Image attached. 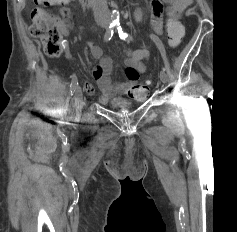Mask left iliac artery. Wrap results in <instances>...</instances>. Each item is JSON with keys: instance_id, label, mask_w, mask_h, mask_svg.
Instances as JSON below:
<instances>
[{"instance_id": "1", "label": "left iliac artery", "mask_w": 237, "mask_h": 232, "mask_svg": "<svg viewBox=\"0 0 237 232\" xmlns=\"http://www.w3.org/2000/svg\"><path fill=\"white\" fill-rule=\"evenodd\" d=\"M117 30H118V33H119V37L122 40H126V41H131L132 40V37L130 35H128L127 33H125L122 30L121 26L118 25ZM150 37L155 42V44L157 45L163 59L165 60V47H164L162 41L154 34H151Z\"/></svg>"}]
</instances>
